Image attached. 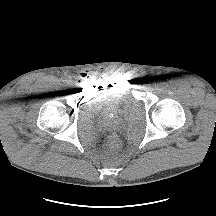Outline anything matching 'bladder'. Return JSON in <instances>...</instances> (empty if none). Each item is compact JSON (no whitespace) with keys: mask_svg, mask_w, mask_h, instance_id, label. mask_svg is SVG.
I'll return each mask as SVG.
<instances>
[{"mask_svg":"<svg viewBox=\"0 0 216 216\" xmlns=\"http://www.w3.org/2000/svg\"><path fill=\"white\" fill-rule=\"evenodd\" d=\"M134 98L126 91L103 92L93 98V105L105 111H123L133 105Z\"/></svg>","mask_w":216,"mask_h":216,"instance_id":"bladder-1","label":"bladder"}]
</instances>
